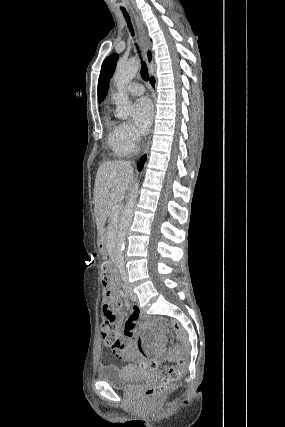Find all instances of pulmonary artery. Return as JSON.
Instances as JSON below:
<instances>
[{
	"instance_id": "1",
	"label": "pulmonary artery",
	"mask_w": 285,
	"mask_h": 427,
	"mask_svg": "<svg viewBox=\"0 0 285 427\" xmlns=\"http://www.w3.org/2000/svg\"><path fill=\"white\" fill-rule=\"evenodd\" d=\"M127 92L131 96H140L144 93V87L140 83H130L127 87Z\"/></svg>"
}]
</instances>
